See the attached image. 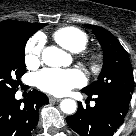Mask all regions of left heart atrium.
<instances>
[{
  "label": "left heart atrium",
  "instance_id": "left-heart-atrium-1",
  "mask_svg": "<svg viewBox=\"0 0 136 136\" xmlns=\"http://www.w3.org/2000/svg\"><path fill=\"white\" fill-rule=\"evenodd\" d=\"M35 80L40 90L54 95H63L85 83L83 73L77 69L47 68L39 72Z\"/></svg>",
  "mask_w": 136,
  "mask_h": 136
}]
</instances>
